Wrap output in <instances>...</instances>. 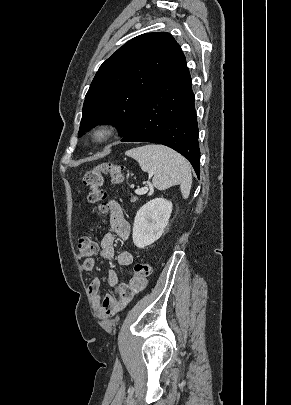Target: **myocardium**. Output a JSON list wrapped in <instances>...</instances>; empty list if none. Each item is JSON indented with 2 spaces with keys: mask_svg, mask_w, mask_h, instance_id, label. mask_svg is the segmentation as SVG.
Here are the masks:
<instances>
[{
  "mask_svg": "<svg viewBox=\"0 0 291 405\" xmlns=\"http://www.w3.org/2000/svg\"><path fill=\"white\" fill-rule=\"evenodd\" d=\"M116 132V127L111 123H101L91 132V140L95 144H103L109 141Z\"/></svg>",
  "mask_w": 291,
  "mask_h": 405,
  "instance_id": "f54148a6",
  "label": "myocardium"
}]
</instances>
